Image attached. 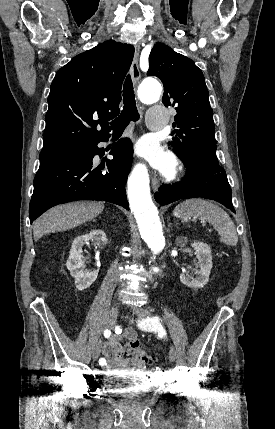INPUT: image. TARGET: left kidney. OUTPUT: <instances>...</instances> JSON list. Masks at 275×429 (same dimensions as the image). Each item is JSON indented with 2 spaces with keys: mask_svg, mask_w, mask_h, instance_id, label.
Listing matches in <instances>:
<instances>
[{
  "mask_svg": "<svg viewBox=\"0 0 275 429\" xmlns=\"http://www.w3.org/2000/svg\"><path fill=\"white\" fill-rule=\"evenodd\" d=\"M188 240L186 237L177 238V244L180 246H185ZM191 246L196 251V257L199 260V270L196 271L197 277H192L187 273H182L180 275V281L184 285L192 288H202L204 287L209 280L211 268H212V255L211 248L208 244L203 242H193Z\"/></svg>",
  "mask_w": 275,
  "mask_h": 429,
  "instance_id": "obj_1",
  "label": "left kidney"
}]
</instances>
